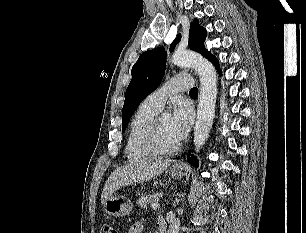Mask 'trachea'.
Listing matches in <instances>:
<instances>
[{
	"label": "trachea",
	"mask_w": 306,
	"mask_h": 233,
	"mask_svg": "<svg viewBox=\"0 0 306 233\" xmlns=\"http://www.w3.org/2000/svg\"><path fill=\"white\" fill-rule=\"evenodd\" d=\"M198 94V89L197 88H192L190 90V95H197Z\"/></svg>",
	"instance_id": "trachea-1"
}]
</instances>
